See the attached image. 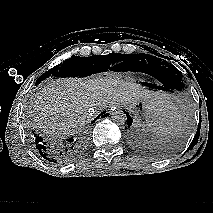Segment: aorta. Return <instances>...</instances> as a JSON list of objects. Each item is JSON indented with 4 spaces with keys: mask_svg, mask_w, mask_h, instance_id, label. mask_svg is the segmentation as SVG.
<instances>
[{
    "mask_svg": "<svg viewBox=\"0 0 213 213\" xmlns=\"http://www.w3.org/2000/svg\"><path fill=\"white\" fill-rule=\"evenodd\" d=\"M111 118L117 125H124L127 121V116L122 110L113 112Z\"/></svg>",
    "mask_w": 213,
    "mask_h": 213,
    "instance_id": "aorta-1",
    "label": "aorta"
}]
</instances>
